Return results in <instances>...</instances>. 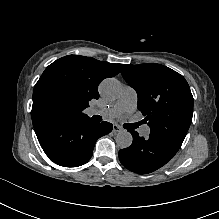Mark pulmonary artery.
I'll list each match as a JSON object with an SVG mask.
<instances>
[{
  "label": "pulmonary artery",
  "mask_w": 219,
  "mask_h": 219,
  "mask_svg": "<svg viewBox=\"0 0 219 219\" xmlns=\"http://www.w3.org/2000/svg\"><path fill=\"white\" fill-rule=\"evenodd\" d=\"M137 100L138 97L135 89L125 86L122 95L112 107L102 110L90 108L89 112L100 115L105 120H111L122 115L123 113L132 112L137 106ZM143 131L148 132L149 127L144 126Z\"/></svg>",
  "instance_id": "e3ab8cb5"
}]
</instances>
